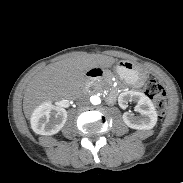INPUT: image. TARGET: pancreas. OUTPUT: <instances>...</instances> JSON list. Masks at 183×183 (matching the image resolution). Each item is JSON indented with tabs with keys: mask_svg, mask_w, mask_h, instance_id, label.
<instances>
[{
	"mask_svg": "<svg viewBox=\"0 0 183 183\" xmlns=\"http://www.w3.org/2000/svg\"><path fill=\"white\" fill-rule=\"evenodd\" d=\"M99 86V83L98 82H95L94 83V87H98Z\"/></svg>",
	"mask_w": 183,
	"mask_h": 183,
	"instance_id": "1",
	"label": "pancreas"
}]
</instances>
